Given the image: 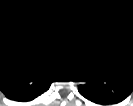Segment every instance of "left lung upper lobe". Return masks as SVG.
Segmentation results:
<instances>
[{"mask_svg":"<svg viewBox=\"0 0 133 106\" xmlns=\"http://www.w3.org/2000/svg\"><path fill=\"white\" fill-rule=\"evenodd\" d=\"M82 58L86 63V83L78 90L88 100L102 106L116 105L133 90V55L106 41L88 45Z\"/></svg>","mask_w":133,"mask_h":106,"instance_id":"left-lung-upper-lobe-1","label":"left lung upper lobe"}]
</instances>
